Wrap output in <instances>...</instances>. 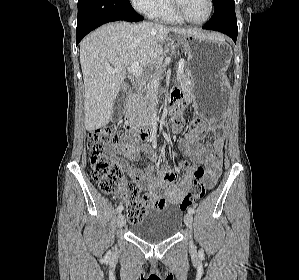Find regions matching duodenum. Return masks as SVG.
I'll return each instance as SVG.
<instances>
[{
	"instance_id": "duodenum-1",
	"label": "duodenum",
	"mask_w": 299,
	"mask_h": 280,
	"mask_svg": "<svg viewBox=\"0 0 299 280\" xmlns=\"http://www.w3.org/2000/svg\"><path fill=\"white\" fill-rule=\"evenodd\" d=\"M134 94H130L129 100H133ZM169 103L175 108V110H179L182 107V102L179 94L173 93L169 99ZM132 130L134 135L140 139H148L152 133L153 129L151 127H143V126H133Z\"/></svg>"
}]
</instances>
